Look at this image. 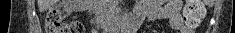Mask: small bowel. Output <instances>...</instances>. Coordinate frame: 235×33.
<instances>
[{"mask_svg":"<svg viewBox=\"0 0 235 33\" xmlns=\"http://www.w3.org/2000/svg\"><path fill=\"white\" fill-rule=\"evenodd\" d=\"M181 8V0H144L136 5L134 12L148 21L168 19L171 28L178 33H194L184 24Z\"/></svg>","mask_w":235,"mask_h":33,"instance_id":"c3829d8e","label":"small bowel"}]
</instances>
